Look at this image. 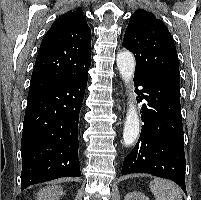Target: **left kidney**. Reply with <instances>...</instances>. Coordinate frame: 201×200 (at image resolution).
<instances>
[{"instance_id": "5707ae66", "label": "left kidney", "mask_w": 201, "mask_h": 200, "mask_svg": "<svg viewBox=\"0 0 201 200\" xmlns=\"http://www.w3.org/2000/svg\"><path fill=\"white\" fill-rule=\"evenodd\" d=\"M125 200H150V199L141 192L133 191L127 193V195L125 196Z\"/></svg>"}]
</instances>
